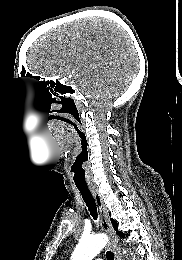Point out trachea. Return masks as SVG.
Returning <instances> with one entry per match:
<instances>
[{
    "instance_id": "obj_1",
    "label": "trachea",
    "mask_w": 182,
    "mask_h": 260,
    "mask_svg": "<svg viewBox=\"0 0 182 260\" xmlns=\"http://www.w3.org/2000/svg\"><path fill=\"white\" fill-rule=\"evenodd\" d=\"M78 190L80 191V194L91 214L94 220H97L98 214H97V206L95 203V200L88 189V187H77ZM106 258L107 260H114V254L111 251H108L106 253Z\"/></svg>"
}]
</instances>
